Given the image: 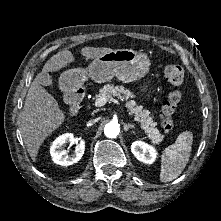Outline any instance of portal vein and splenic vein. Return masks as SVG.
<instances>
[{"instance_id":"obj_1","label":"portal vein and splenic vein","mask_w":221,"mask_h":221,"mask_svg":"<svg viewBox=\"0 0 221 221\" xmlns=\"http://www.w3.org/2000/svg\"><path fill=\"white\" fill-rule=\"evenodd\" d=\"M109 100V98H106V97H101V98H97L96 100H95V106H97V107H102V106H104L106 103H107V101ZM110 100L112 101V102H114L115 104H117V105H120V103H119V101L118 100H116V99H114V98H110Z\"/></svg>"}]
</instances>
